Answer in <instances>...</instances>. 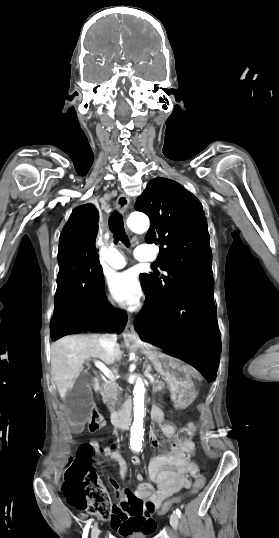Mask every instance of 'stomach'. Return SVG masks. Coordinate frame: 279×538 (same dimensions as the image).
<instances>
[{
	"mask_svg": "<svg viewBox=\"0 0 279 538\" xmlns=\"http://www.w3.org/2000/svg\"><path fill=\"white\" fill-rule=\"evenodd\" d=\"M150 364H153L157 374H161L162 382H173L171 389L179 397L173 402L187 408L195 404L198 392L191 382V368L189 363H182L180 358H175L174 353L147 352ZM173 397V394H170Z\"/></svg>",
	"mask_w": 279,
	"mask_h": 538,
	"instance_id": "stomach-1",
	"label": "stomach"
}]
</instances>
